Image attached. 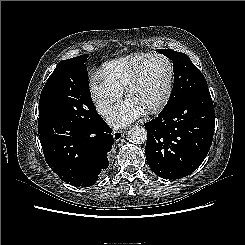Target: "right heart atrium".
<instances>
[{
	"instance_id": "right-heart-atrium-1",
	"label": "right heart atrium",
	"mask_w": 245,
	"mask_h": 245,
	"mask_svg": "<svg viewBox=\"0 0 245 245\" xmlns=\"http://www.w3.org/2000/svg\"><path fill=\"white\" fill-rule=\"evenodd\" d=\"M90 91L97 110L102 114L120 100L123 94L122 90L110 83L101 71L91 74Z\"/></svg>"
}]
</instances>
